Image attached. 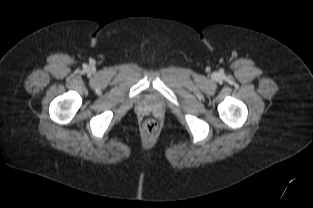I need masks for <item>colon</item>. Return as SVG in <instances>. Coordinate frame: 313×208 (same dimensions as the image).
<instances>
[{"label":"colon","mask_w":313,"mask_h":208,"mask_svg":"<svg viewBox=\"0 0 313 208\" xmlns=\"http://www.w3.org/2000/svg\"><path fill=\"white\" fill-rule=\"evenodd\" d=\"M143 130L146 134L152 135L158 130V123L154 119H148L143 124Z\"/></svg>","instance_id":"5ec220e1"}]
</instances>
